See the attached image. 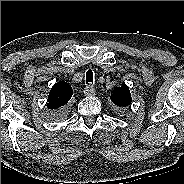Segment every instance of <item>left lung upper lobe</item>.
Returning a JSON list of instances; mask_svg holds the SVG:
<instances>
[{
    "label": "left lung upper lobe",
    "mask_w": 184,
    "mask_h": 184,
    "mask_svg": "<svg viewBox=\"0 0 184 184\" xmlns=\"http://www.w3.org/2000/svg\"><path fill=\"white\" fill-rule=\"evenodd\" d=\"M112 102L119 107H126L131 104V94L128 86L124 83L115 88L110 96Z\"/></svg>",
    "instance_id": "1"
}]
</instances>
